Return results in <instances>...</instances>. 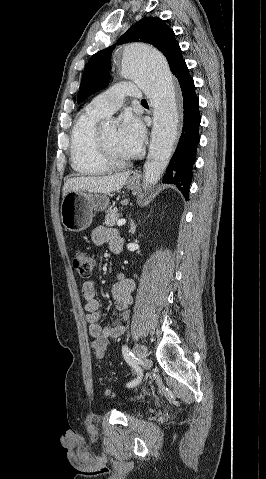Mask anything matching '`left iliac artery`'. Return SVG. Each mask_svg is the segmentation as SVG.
<instances>
[{"label":"left iliac artery","instance_id":"obj_1","mask_svg":"<svg viewBox=\"0 0 266 479\" xmlns=\"http://www.w3.org/2000/svg\"><path fill=\"white\" fill-rule=\"evenodd\" d=\"M122 354L124 356V359L126 362L131 365V368L134 369V371L138 372V377L134 379L133 381L127 383V387H134L139 384L141 380H143V368L140 366V362L136 361V358L134 357L133 353L129 350L127 345L122 346Z\"/></svg>","mask_w":266,"mask_h":479}]
</instances>
